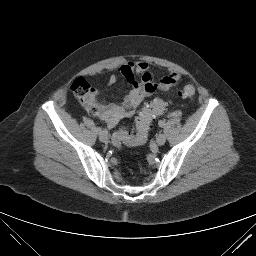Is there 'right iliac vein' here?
<instances>
[{"mask_svg":"<svg viewBox=\"0 0 256 256\" xmlns=\"http://www.w3.org/2000/svg\"><path fill=\"white\" fill-rule=\"evenodd\" d=\"M99 139H100V141H102V142H107V140H108V134H107V132L102 131L101 133H99Z\"/></svg>","mask_w":256,"mask_h":256,"instance_id":"right-iliac-vein-1","label":"right iliac vein"}]
</instances>
